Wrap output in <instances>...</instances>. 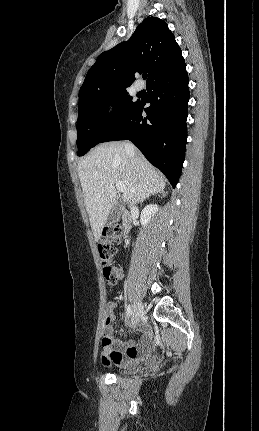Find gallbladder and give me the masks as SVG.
<instances>
[{
	"instance_id": "gallbladder-1",
	"label": "gallbladder",
	"mask_w": 259,
	"mask_h": 431,
	"mask_svg": "<svg viewBox=\"0 0 259 431\" xmlns=\"http://www.w3.org/2000/svg\"><path fill=\"white\" fill-rule=\"evenodd\" d=\"M122 202L118 201L114 208L112 209L108 219H107V225H111L117 221L120 220L121 214H122Z\"/></svg>"
}]
</instances>
